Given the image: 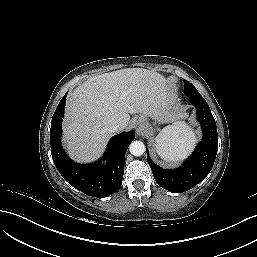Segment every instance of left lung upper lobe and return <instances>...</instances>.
<instances>
[{
  "mask_svg": "<svg viewBox=\"0 0 257 257\" xmlns=\"http://www.w3.org/2000/svg\"><path fill=\"white\" fill-rule=\"evenodd\" d=\"M184 89L186 95L189 98L203 99V97L200 95V93L197 91L194 85L188 82L187 80H184Z\"/></svg>",
  "mask_w": 257,
  "mask_h": 257,
  "instance_id": "left-lung-upper-lobe-1",
  "label": "left lung upper lobe"
}]
</instances>
